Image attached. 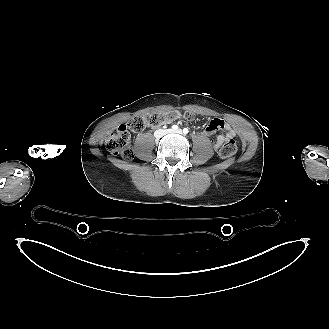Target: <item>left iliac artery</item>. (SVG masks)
<instances>
[{
	"label": "left iliac artery",
	"mask_w": 329,
	"mask_h": 329,
	"mask_svg": "<svg viewBox=\"0 0 329 329\" xmlns=\"http://www.w3.org/2000/svg\"><path fill=\"white\" fill-rule=\"evenodd\" d=\"M188 132H189L188 128H184V129H183V133H184V134H188Z\"/></svg>",
	"instance_id": "left-iliac-artery-1"
}]
</instances>
